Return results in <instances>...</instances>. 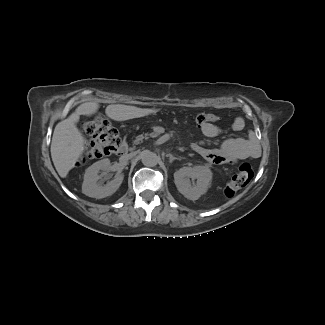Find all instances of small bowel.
<instances>
[{"label":"small bowel","instance_id":"obj_1","mask_svg":"<svg viewBox=\"0 0 325 325\" xmlns=\"http://www.w3.org/2000/svg\"><path fill=\"white\" fill-rule=\"evenodd\" d=\"M209 115L211 117H216V119L205 121L203 124L199 125L201 132L206 137H218L228 133L238 132L244 127V120L241 117L235 118L230 126L222 127L217 124V116L214 114ZM193 149L207 161L215 164H228L256 155V150L241 137L227 138L217 149H210L197 144L193 145Z\"/></svg>","mask_w":325,"mask_h":325}]
</instances>
